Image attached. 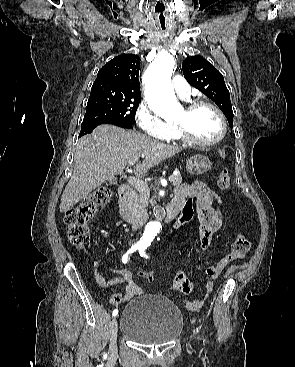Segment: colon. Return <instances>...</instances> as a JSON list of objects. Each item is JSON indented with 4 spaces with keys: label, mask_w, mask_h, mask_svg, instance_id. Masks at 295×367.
Masks as SVG:
<instances>
[{
    "label": "colon",
    "mask_w": 295,
    "mask_h": 367,
    "mask_svg": "<svg viewBox=\"0 0 295 367\" xmlns=\"http://www.w3.org/2000/svg\"><path fill=\"white\" fill-rule=\"evenodd\" d=\"M217 186L221 190H228L231 187V180L227 170H223L219 173L217 178ZM222 193H216L214 200L216 205H225ZM111 191L108 188H99L90 193L77 207H74L66 212L65 224L67 227V235L70 242L77 248H84L90 237V223L95 214L104 208L110 201ZM186 202L181 207L183 221H192L196 207L194 205L195 197L193 195L186 196ZM169 236L175 235L177 230L170 228L168 230ZM171 243L170 241L168 242ZM250 249L249 240L242 234L236 236L232 243L231 252L224 256L218 263L219 269H224L229 263L240 260L248 253ZM155 269L158 267L156 264L153 266ZM140 276L150 282L153 279L152 271H143Z\"/></svg>",
    "instance_id": "obj_1"
}]
</instances>
